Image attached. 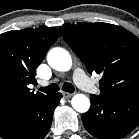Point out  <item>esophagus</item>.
I'll return each mask as SVG.
<instances>
[{
    "label": "esophagus",
    "instance_id": "esophagus-1",
    "mask_svg": "<svg viewBox=\"0 0 139 139\" xmlns=\"http://www.w3.org/2000/svg\"><path fill=\"white\" fill-rule=\"evenodd\" d=\"M63 96L65 98H71L73 96V94L72 93H69V92H63Z\"/></svg>",
    "mask_w": 139,
    "mask_h": 139
}]
</instances>
